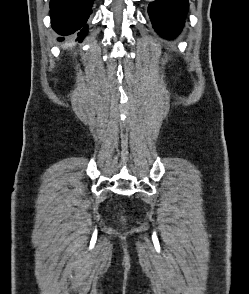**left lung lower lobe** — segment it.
<instances>
[{
	"label": "left lung lower lobe",
	"mask_w": 249,
	"mask_h": 294,
	"mask_svg": "<svg viewBox=\"0 0 249 294\" xmlns=\"http://www.w3.org/2000/svg\"><path fill=\"white\" fill-rule=\"evenodd\" d=\"M188 0H155L148 12L154 29L164 38L175 37L183 27Z\"/></svg>",
	"instance_id": "0a47b994"
}]
</instances>
